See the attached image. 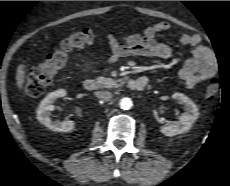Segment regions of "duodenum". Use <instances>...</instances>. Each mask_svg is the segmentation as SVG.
I'll use <instances>...</instances> for the list:
<instances>
[{
	"mask_svg": "<svg viewBox=\"0 0 230 186\" xmlns=\"http://www.w3.org/2000/svg\"><path fill=\"white\" fill-rule=\"evenodd\" d=\"M147 84L148 80L145 77L127 79L128 88L132 91H141L147 86ZM83 86L87 91H95L98 87V84L94 79L89 78L84 81Z\"/></svg>",
	"mask_w": 230,
	"mask_h": 186,
	"instance_id": "duodenum-1",
	"label": "duodenum"
}]
</instances>
